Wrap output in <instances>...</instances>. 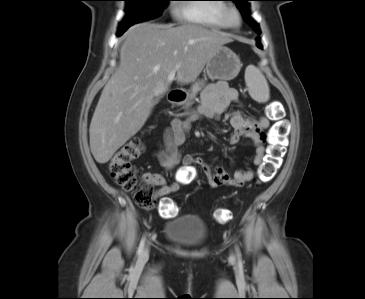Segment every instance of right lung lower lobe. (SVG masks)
<instances>
[{"mask_svg": "<svg viewBox=\"0 0 365 299\" xmlns=\"http://www.w3.org/2000/svg\"><path fill=\"white\" fill-rule=\"evenodd\" d=\"M132 26V25H131ZM130 26L119 27V31L117 33L118 36H121Z\"/></svg>", "mask_w": 365, "mask_h": 299, "instance_id": "obj_1", "label": "right lung lower lobe"}]
</instances>
